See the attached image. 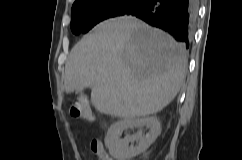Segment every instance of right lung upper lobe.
I'll return each instance as SVG.
<instances>
[{
	"label": "right lung upper lobe",
	"mask_w": 242,
	"mask_h": 160,
	"mask_svg": "<svg viewBox=\"0 0 242 160\" xmlns=\"http://www.w3.org/2000/svg\"><path fill=\"white\" fill-rule=\"evenodd\" d=\"M80 1H82V0H75L74 4H77V3L80 2ZM74 4H73V5H74Z\"/></svg>",
	"instance_id": "obj_1"
}]
</instances>
